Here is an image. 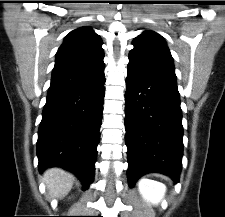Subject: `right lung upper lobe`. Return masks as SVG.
Instances as JSON below:
<instances>
[{
  "label": "right lung upper lobe",
  "mask_w": 225,
  "mask_h": 217,
  "mask_svg": "<svg viewBox=\"0 0 225 217\" xmlns=\"http://www.w3.org/2000/svg\"><path fill=\"white\" fill-rule=\"evenodd\" d=\"M102 40L90 27L71 31L56 53L49 91L87 85L104 77Z\"/></svg>",
  "instance_id": "obj_1"
}]
</instances>
